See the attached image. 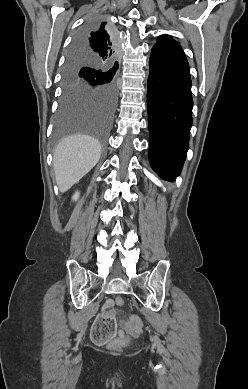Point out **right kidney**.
<instances>
[{
    "mask_svg": "<svg viewBox=\"0 0 248 389\" xmlns=\"http://www.w3.org/2000/svg\"><path fill=\"white\" fill-rule=\"evenodd\" d=\"M79 195H80V193H79L78 191L75 192V194L73 195L72 199H73L74 201H76V200L79 198Z\"/></svg>",
    "mask_w": 248,
    "mask_h": 389,
    "instance_id": "1",
    "label": "right kidney"
}]
</instances>
